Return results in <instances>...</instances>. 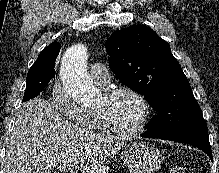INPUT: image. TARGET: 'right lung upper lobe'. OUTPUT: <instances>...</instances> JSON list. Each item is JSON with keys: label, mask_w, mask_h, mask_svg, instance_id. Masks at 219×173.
<instances>
[{"label": "right lung upper lobe", "mask_w": 219, "mask_h": 173, "mask_svg": "<svg viewBox=\"0 0 219 173\" xmlns=\"http://www.w3.org/2000/svg\"><path fill=\"white\" fill-rule=\"evenodd\" d=\"M61 45L58 42H53L49 46L45 47L39 54L37 60L32 65L34 68H40L45 73L55 75V61L60 52Z\"/></svg>", "instance_id": "right-lung-upper-lobe-1"}]
</instances>
